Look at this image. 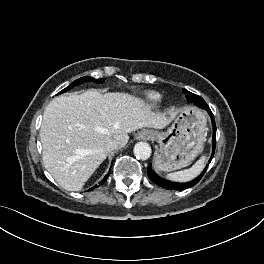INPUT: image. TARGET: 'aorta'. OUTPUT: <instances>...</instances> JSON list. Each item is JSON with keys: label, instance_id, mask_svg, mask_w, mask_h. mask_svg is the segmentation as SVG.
<instances>
[{"label": "aorta", "instance_id": "762f6f07", "mask_svg": "<svg viewBox=\"0 0 264 264\" xmlns=\"http://www.w3.org/2000/svg\"><path fill=\"white\" fill-rule=\"evenodd\" d=\"M134 155L141 160H147L151 156V147L146 142H138L134 146Z\"/></svg>", "mask_w": 264, "mask_h": 264}]
</instances>
